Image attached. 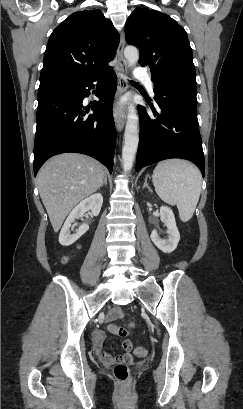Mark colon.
Returning a JSON list of instances; mask_svg holds the SVG:
<instances>
[{"label":"colon","instance_id":"1","mask_svg":"<svg viewBox=\"0 0 243 409\" xmlns=\"http://www.w3.org/2000/svg\"><path fill=\"white\" fill-rule=\"evenodd\" d=\"M109 330L120 338H124L128 334L127 329L112 324L109 325ZM135 354L137 356H145L147 354V349L145 347L138 346L135 348ZM114 376L120 384L124 385L125 387L128 386L130 380V371L125 362L118 363L114 367Z\"/></svg>","mask_w":243,"mask_h":409}]
</instances>
